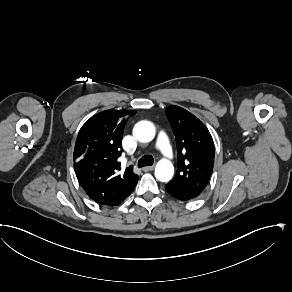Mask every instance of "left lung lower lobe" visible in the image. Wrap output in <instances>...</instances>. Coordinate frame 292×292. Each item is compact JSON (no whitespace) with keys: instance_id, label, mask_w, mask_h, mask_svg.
Returning <instances> with one entry per match:
<instances>
[{"instance_id":"obj_1","label":"left lung lower lobe","mask_w":292,"mask_h":292,"mask_svg":"<svg viewBox=\"0 0 292 292\" xmlns=\"http://www.w3.org/2000/svg\"><path fill=\"white\" fill-rule=\"evenodd\" d=\"M165 190L174 198L181 200V201H188L198 197L201 193L182 188L176 184L171 182L165 185Z\"/></svg>"}]
</instances>
